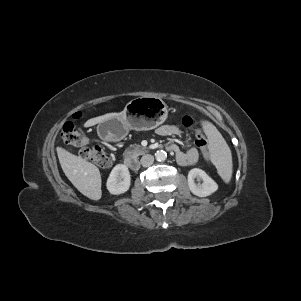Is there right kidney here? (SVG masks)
<instances>
[{"label": "right kidney", "instance_id": "ca27d5eb", "mask_svg": "<svg viewBox=\"0 0 301 301\" xmlns=\"http://www.w3.org/2000/svg\"><path fill=\"white\" fill-rule=\"evenodd\" d=\"M131 185V176L128 167L124 164L116 165L108 179H107V189L113 195L123 194L129 190Z\"/></svg>", "mask_w": 301, "mask_h": 301}]
</instances>
